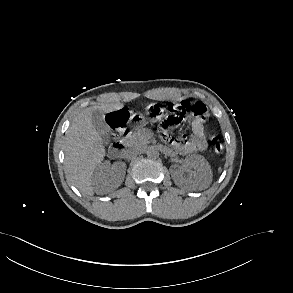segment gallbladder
Returning <instances> with one entry per match:
<instances>
[{"mask_svg": "<svg viewBox=\"0 0 293 293\" xmlns=\"http://www.w3.org/2000/svg\"><path fill=\"white\" fill-rule=\"evenodd\" d=\"M104 112L101 110H96L92 114V123L96 131L100 136L108 138L110 134V128L104 121Z\"/></svg>", "mask_w": 293, "mask_h": 293, "instance_id": "bac80fb5", "label": "gallbladder"}]
</instances>
